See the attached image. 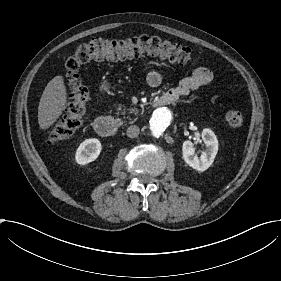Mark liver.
Segmentation results:
<instances>
[{
	"label": "liver",
	"mask_w": 281,
	"mask_h": 281,
	"mask_svg": "<svg viewBox=\"0 0 281 281\" xmlns=\"http://www.w3.org/2000/svg\"><path fill=\"white\" fill-rule=\"evenodd\" d=\"M66 87L62 76L54 77L45 87L38 106V123L48 129L66 107Z\"/></svg>",
	"instance_id": "obj_1"
}]
</instances>
